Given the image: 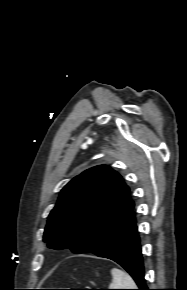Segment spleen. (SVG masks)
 I'll return each mask as SVG.
<instances>
[{
    "label": "spleen",
    "instance_id": "obj_1",
    "mask_svg": "<svg viewBox=\"0 0 187 290\" xmlns=\"http://www.w3.org/2000/svg\"><path fill=\"white\" fill-rule=\"evenodd\" d=\"M112 283L110 289H136V284L126 272L113 268L111 270Z\"/></svg>",
    "mask_w": 187,
    "mask_h": 290
}]
</instances>
